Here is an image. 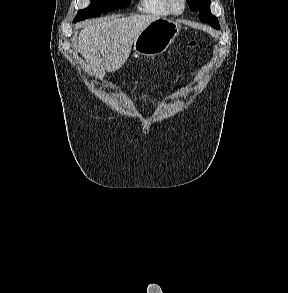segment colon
Returning <instances> with one entry per match:
<instances>
[{"mask_svg":"<svg viewBox=\"0 0 288 293\" xmlns=\"http://www.w3.org/2000/svg\"><path fill=\"white\" fill-rule=\"evenodd\" d=\"M195 45V42H191L190 46L193 47Z\"/></svg>","mask_w":288,"mask_h":293,"instance_id":"obj_1","label":"colon"}]
</instances>
